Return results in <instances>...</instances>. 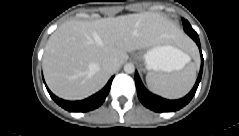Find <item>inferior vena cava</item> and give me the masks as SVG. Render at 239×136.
Instances as JSON below:
<instances>
[{
	"label": "inferior vena cava",
	"mask_w": 239,
	"mask_h": 136,
	"mask_svg": "<svg viewBox=\"0 0 239 136\" xmlns=\"http://www.w3.org/2000/svg\"><path fill=\"white\" fill-rule=\"evenodd\" d=\"M103 67L110 72H114L119 68V63L116 60L108 59L103 62Z\"/></svg>",
	"instance_id": "1"
}]
</instances>
